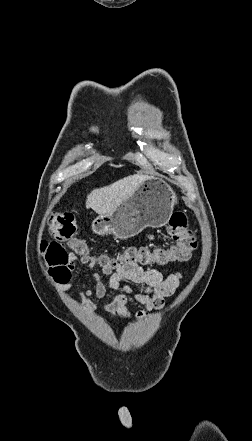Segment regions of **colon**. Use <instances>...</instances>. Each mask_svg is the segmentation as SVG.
I'll return each instance as SVG.
<instances>
[{
	"label": "colon",
	"mask_w": 252,
	"mask_h": 441,
	"mask_svg": "<svg viewBox=\"0 0 252 441\" xmlns=\"http://www.w3.org/2000/svg\"><path fill=\"white\" fill-rule=\"evenodd\" d=\"M49 227L56 239L43 241L40 249L44 255L51 276L58 282L65 280L70 272L71 255L63 241L69 240V247L75 254L89 255L86 242L76 238V224L70 214H53L49 219ZM168 233L173 243L165 248L151 249L147 246L129 247L116 259L106 256L95 258L97 263L104 265L149 264L168 265L186 261L197 246L194 233L187 226V218L183 213H174L168 223Z\"/></svg>",
	"instance_id": "colon-1"
}]
</instances>
